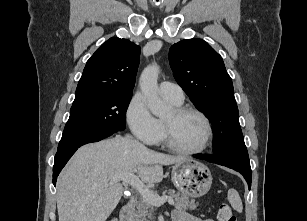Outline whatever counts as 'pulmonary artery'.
Returning a JSON list of instances; mask_svg holds the SVG:
<instances>
[{"label": "pulmonary artery", "instance_id": "obj_1", "mask_svg": "<svg viewBox=\"0 0 307 221\" xmlns=\"http://www.w3.org/2000/svg\"><path fill=\"white\" fill-rule=\"evenodd\" d=\"M159 92L163 97L175 103H182L184 100L182 88L178 84L172 82H161L159 85Z\"/></svg>", "mask_w": 307, "mask_h": 221}]
</instances>
